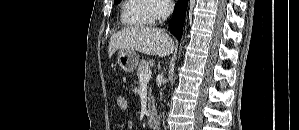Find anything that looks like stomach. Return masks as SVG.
Instances as JSON below:
<instances>
[{"label": "stomach", "mask_w": 299, "mask_h": 130, "mask_svg": "<svg viewBox=\"0 0 299 130\" xmlns=\"http://www.w3.org/2000/svg\"><path fill=\"white\" fill-rule=\"evenodd\" d=\"M117 63L125 72H133L138 66L139 56L134 50H119Z\"/></svg>", "instance_id": "0dacf381"}]
</instances>
